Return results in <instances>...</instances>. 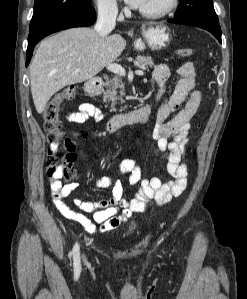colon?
Instances as JSON below:
<instances>
[{
	"instance_id": "obj_1",
	"label": "colon",
	"mask_w": 247,
	"mask_h": 299,
	"mask_svg": "<svg viewBox=\"0 0 247 299\" xmlns=\"http://www.w3.org/2000/svg\"><path fill=\"white\" fill-rule=\"evenodd\" d=\"M176 54L180 58H188L193 54V50L191 48L178 49ZM75 94L74 86L64 88L46 104L43 111V128L50 145L47 173L52 184L71 179L75 175V170L72 167L75 144L71 139L63 137L61 122L58 117L60 105L64 101L72 99ZM60 150L64 151L63 156H59Z\"/></svg>"
}]
</instances>
